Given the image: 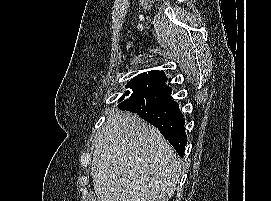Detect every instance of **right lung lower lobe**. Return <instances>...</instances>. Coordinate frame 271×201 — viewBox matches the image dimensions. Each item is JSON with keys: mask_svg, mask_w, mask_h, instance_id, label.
Instances as JSON below:
<instances>
[{"mask_svg": "<svg viewBox=\"0 0 271 201\" xmlns=\"http://www.w3.org/2000/svg\"><path fill=\"white\" fill-rule=\"evenodd\" d=\"M152 79L142 94L130 96L118 107L141 118L157 127L170 142L180 157H183L187 143L184 129L185 120L178 103L170 97L171 88L166 86L163 72L151 71Z\"/></svg>", "mask_w": 271, "mask_h": 201, "instance_id": "right-lung-lower-lobe-1", "label": "right lung lower lobe"}]
</instances>
